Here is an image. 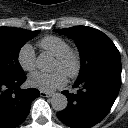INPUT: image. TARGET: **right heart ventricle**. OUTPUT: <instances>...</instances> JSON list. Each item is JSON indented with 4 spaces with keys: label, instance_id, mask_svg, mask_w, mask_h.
Masks as SVG:
<instances>
[{
    "label": "right heart ventricle",
    "instance_id": "e07e8e85",
    "mask_svg": "<svg viewBox=\"0 0 128 128\" xmlns=\"http://www.w3.org/2000/svg\"><path fill=\"white\" fill-rule=\"evenodd\" d=\"M39 46L54 57H59L70 47L66 40L59 36H46L39 41Z\"/></svg>",
    "mask_w": 128,
    "mask_h": 128
}]
</instances>
